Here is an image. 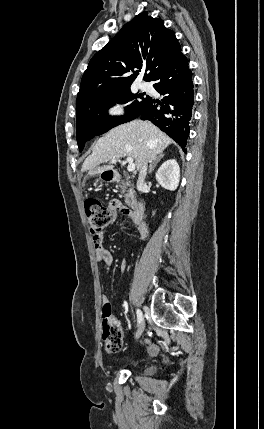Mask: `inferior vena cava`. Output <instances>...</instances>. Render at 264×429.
Wrapping results in <instances>:
<instances>
[{"mask_svg":"<svg viewBox=\"0 0 264 429\" xmlns=\"http://www.w3.org/2000/svg\"><path fill=\"white\" fill-rule=\"evenodd\" d=\"M147 163H148V161H146L143 164L142 168L139 170V177H138V180H137V189L139 191H141L142 188H143V186H144V181H145V178H146V175H147Z\"/></svg>","mask_w":264,"mask_h":429,"instance_id":"obj_1","label":"inferior vena cava"}]
</instances>
